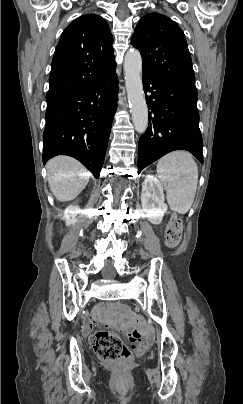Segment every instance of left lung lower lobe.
Instances as JSON below:
<instances>
[{
	"label": "left lung lower lobe",
	"instance_id": "left-lung-lower-lobe-1",
	"mask_svg": "<svg viewBox=\"0 0 243 404\" xmlns=\"http://www.w3.org/2000/svg\"><path fill=\"white\" fill-rule=\"evenodd\" d=\"M149 112V126L138 145V173L163 155L187 150L203 164V141L199 129L197 89L142 74Z\"/></svg>",
	"mask_w": 243,
	"mask_h": 404
}]
</instances>
